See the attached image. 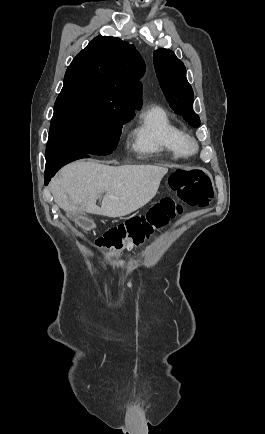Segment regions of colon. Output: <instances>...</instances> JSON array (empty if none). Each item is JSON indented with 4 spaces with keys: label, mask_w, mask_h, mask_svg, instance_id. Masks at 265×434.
Instances as JSON below:
<instances>
[{
    "label": "colon",
    "mask_w": 265,
    "mask_h": 434,
    "mask_svg": "<svg viewBox=\"0 0 265 434\" xmlns=\"http://www.w3.org/2000/svg\"><path fill=\"white\" fill-rule=\"evenodd\" d=\"M201 168H169L170 188L181 194V201L206 206L212 201L210 172ZM184 207L169 197L154 204L146 215L131 219L107 229L94 243L98 252L117 257L129 248L143 246L156 231L165 228L169 221L181 215Z\"/></svg>",
    "instance_id": "1"
}]
</instances>
